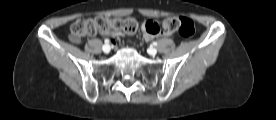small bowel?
Masks as SVG:
<instances>
[{
    "instance_id": "1",
    "label": "small bowel",
    "mask_w": 276,
    "mask_h": 120,
    "mask_svg": "<svg viewBox=\"0 0 276 120\" xmlns=\"http://www.w3.org/2000/svg\"><path fill=\"white\" fill-rule=\"evenodd\" d=\"M104 34V33H103ZM107 35V34H105ZM117 34L113 35V36H116ZM169 34L168 33H164V32H159L158 34H150L148 32L145 31V29L143 28V38L145 40H151L155 37H159V36H168Z\"/></svg>"
}]
</instances>
